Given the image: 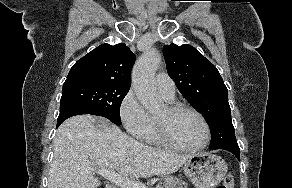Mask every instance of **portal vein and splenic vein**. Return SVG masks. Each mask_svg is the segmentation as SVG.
Listing matches in <instances>:
<instances>
[{
  "mask_svg": "<svg viewBox=\"0 0 292 188\" xmlns=\"http://www.w3.org/2000/svg\"><path fill=\"white\" fill-rule=\"evenodd\" d=\"M98 174L105 177L109 181L115 183L120 188H146L143 183L137 181H131L130 179L118 174L115 170H96ZM156 188H162V186L158 185Z\"/></svg>",
  "mask_w": 292,
  "mask_h": 188,
  "instance_id": "1",
  "label": "portal vein and splenic vein"
}]
</instances>
